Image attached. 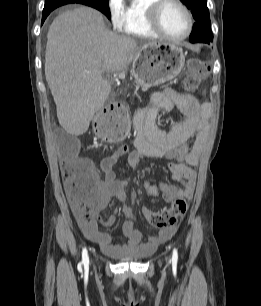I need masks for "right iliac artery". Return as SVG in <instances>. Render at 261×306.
<instances>
[{"mask_svg":"<svg viewBox=\"0 0 261 306\" xmlns=\"http://www.w3.org/2000/svg\"><path fill=\"white\" fill-rule=\"evenodd\" d=\"M82 262L86 268L89 266L88 251L86 248H84L82 251Z\"/></svg>","mask_w":261,"mask_h":306,"instance_id":"obj_1","label":"right iliac artery"}]
</instances>
